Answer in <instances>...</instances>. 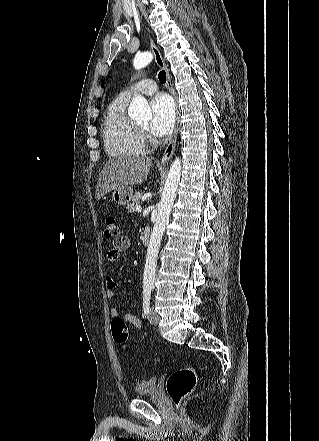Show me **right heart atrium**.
<instances>
[{"mask_svg":"<svg viewBox=\"0 0 319 441\" xmlns=\"http://www.w3.org/2000/svg\"><path fill=\"white\" fill-rule=\"evenodd\" d=\"M145 138H146V137L143 135V139H144V140H145Z\"/></svg>","mask_w":319,"mask_h":441,"instance_id":"1","label":"right heart atrium"}]
</instances>
